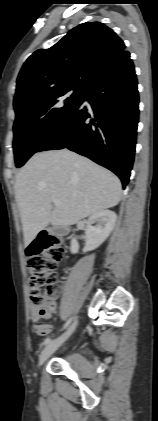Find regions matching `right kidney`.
Returning <instances> with one entry per match:
<instances>
[{"instance_id": "1", "label": "right kidney", "mask_w": 158, "mask_h": 421, "mask_svg": "<svg viewBox=\"0 0 158 421\" xmlns=\"http://www.w3.org/2000/svg\"><path fill=\"white\" fill-rule=\"evenodd\" d=\"M117 216L113 211L103 210L91 215L85 229V247L83 252H88L98 248L112 232ZM97 223L95 226L93 224ZM79 250L76 238H72L70 251L75 254Z\"/></svg>"}]
</instances>
